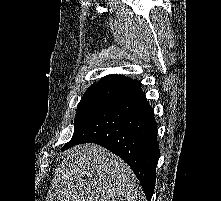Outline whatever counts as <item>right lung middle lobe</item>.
<instances>
[{
    "mask_svg": "<svg viewBox=\"0 0 221 201\" xmlns=\"http://www.w3.org/2000/svg\"><path fill=\"white\" fill-rule=\"evenodd\" d=\"M116 92L117 89L114 88H89L78 104L73 135H75L90 117Z\"/></svg>",
    "mask_w": 221,
    "mask_h": 201,
    "instance_id": "obj_1",
    "label": "right lung middle lobe"
}]
</instances>
